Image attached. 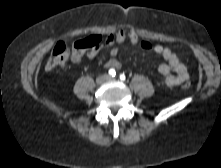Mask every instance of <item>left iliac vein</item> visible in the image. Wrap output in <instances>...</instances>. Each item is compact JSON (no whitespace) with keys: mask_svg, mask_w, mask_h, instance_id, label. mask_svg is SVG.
Instances as JSON below:
<instances>
[{"mask_svg":"<svg viewBox=\"0 0 221 168\" xmlns=\"http://www.w3.org/2000/svg\"><path fill=\"white\" fill-rule=\"evenodd\" d=\"M116 78H113V77H108L107 80H115Z\"/></svg>","mask_w":221,"mask_h":168,"instance_id":"4c4485c4","label":"left iliac vein"}]
</instances>
